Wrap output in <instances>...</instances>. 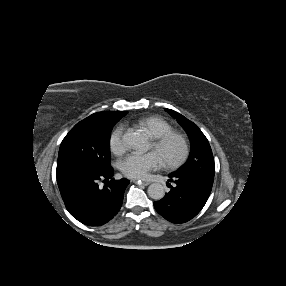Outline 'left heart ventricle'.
<instances>
[{"label":"left heart ventricle","instance_id":"b2bd125f","mask_svg":"<svg viewBox=\"0 0 286 286\" xmlns=\"http://www.w3.org/2000/svg\"><path fill=\"white\" fill-rule=\"evenodd\" d=\"M149 149L157 154L163 165H167L181 158L185 151V143L182 138L173 137L163 145L152 142Z\"/></svg>","mask_w":286,"mask_h":286}]
</instances>
